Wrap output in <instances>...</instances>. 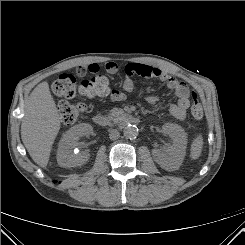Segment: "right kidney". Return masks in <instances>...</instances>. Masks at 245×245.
<instances>
[{
	"label": "right kidney",
	"mask_w": 245,
	"mask_h": 245,
	"mask_svg": "<svg viewBox=\"0 0 245 245\" xmlns=\"http://www.w3.org/2000/svg\"><path fill=\"white\" fill-rule=\"evenodd\" d=\"M93 128L88 123H81L71 127L61 138L57 151V162L62 167H76L86 163L89 153H75L74 148L83 136H89Z\"/></svg>",
	"instance_id": "1"
}]
</instances>
